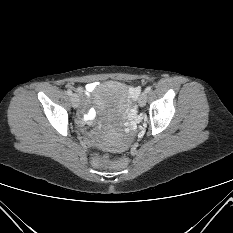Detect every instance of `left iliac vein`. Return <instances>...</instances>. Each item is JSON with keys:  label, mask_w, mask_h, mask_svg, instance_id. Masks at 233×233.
<instances>
[{"label": "left iliac vein", "mask_w": 233, "mask_h": 233, "mask_svg": "<svg viewBox=\"0 0 233 233\" xmlns=\"http://www.w3.org/2000/svg\"><path fill=\"white\" fill-rule=\"evenodd\" d=\"M147 101V93L144 91L140 94L138 98V104L143 107L146 104Z\"/></svg>", "instance_id": "1"}]
</instances>
